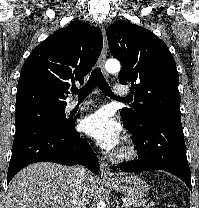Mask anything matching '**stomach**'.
Returning a JSON list of instances; mask_svg holds the SVG:
<instances>
[{
  "label": "stomach",
  "mask_w": 199,
  "mask_h": 208,
  "mask_svg": "<svg viewBox=\"0 0 199 208\" xmlns=\"http://www.w3.org/2000/svg\"><path fill=\"white\" fill-rule=\"evenodd\" d=\"M110 185L115 191L135 200L142 199L150 190L149 185L142 178L135 175L120 177L110 182Z\"/></svg>",
  "instance_id": "0dacf381"
}]
</instances>
